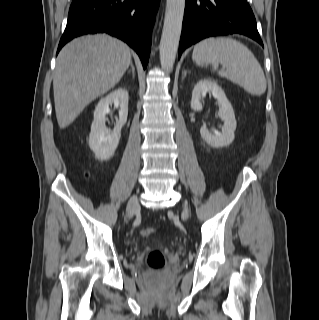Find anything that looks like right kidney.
Wrapping results in <instances>:
<instances>
[{
	"label": "right kidney",
	"instance_id": "obj_1",
	"mask_svg": "<svg viewBox=\"0 0 319 320\" xmlns=\"http://www.w3.org/2000/svg\"><path fill=\"white\" fill-rule=\"evenodd\" d=\"M128 92L124 88H118L107 96L100 99L94 111V120L89 135V147L95 157L101 161L110 159L119 144L121 129L127 121L128 115ZM114 104L119 108V120L112 132L106 127V114L109 106Z\"/></svg>",
	"mask_w": 319,
	"mask_h": 320
}]
</instances>
